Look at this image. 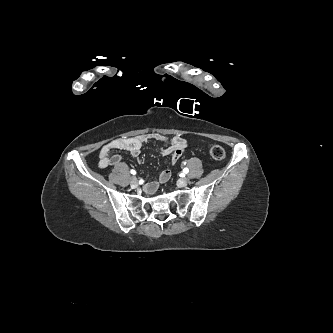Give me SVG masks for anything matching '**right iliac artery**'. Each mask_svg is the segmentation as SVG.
<instances>
[{
  "label": "right iliac artery",
  "instance_id": "1",
  "mask_svg": "<svg viewBox=\"0 0 333 333\" xmlns=\"http://www.w3.org/2000/svg\"><path fill=\"white\" fill-rule=\"evenodd\" d=\"M130 172H131V174H133V175L136 174V171H135V170H131Z\"/></svg>",
  "mask_w": 333,
  "mask_h": 333
}]
</instances>
